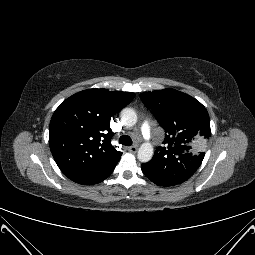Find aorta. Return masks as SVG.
I'll use <instances>...</instances> for the list:
<instances>
[{"label":"aorta","instance_id":"aorta-1","mask_svg":"<svg viewBox=\"0 0 255 255\" xmlns=\"http://www.w3.org/2000/svg\"><path fill=\"white\" fill-rule=\"evenodd\" d=\"M121 120L126 125H134L137 121V115L132 109H124L120 114ZM153 146L150 143H143L137 153V158L140 162L146 163L153 157Z\"/></svg>","mask_w":255,"mask_h":255}]
</instances>
